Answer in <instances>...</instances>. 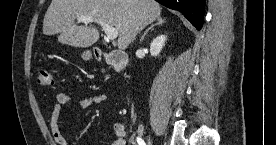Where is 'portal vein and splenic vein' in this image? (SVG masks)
Segmentation results:
<instances>
[{
    "label": "portal vein and splenic vein",
    "mask_w": 276,
    "mask_h": 145,
    "mask_svg": "<svg viewBox=\"0 0 276 145\" xmlns=\"http://www.w3.org/2000/svg\"><path fill=\"white\" fill-rule=\"evenodd\" d=\"M77 20L79 22H83V23H91V22L98 23L102 27L107 38L110 40H115L118 36V30L116 28L110 26L109 24H107L101 20H96L92 16H79V17H77Z\"/></svg>",
    "instance_id": "obj_1"
}]
</instances>
